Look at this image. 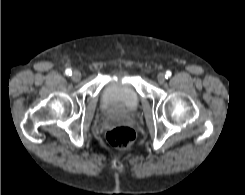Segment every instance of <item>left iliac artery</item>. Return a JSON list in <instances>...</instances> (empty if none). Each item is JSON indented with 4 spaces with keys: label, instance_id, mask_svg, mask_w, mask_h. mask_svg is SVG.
Wrapping results in <instances>:
<instances>
[{
    "label": "left iliac artery",
    "instance_id": "1",
    "mask_svg": "<svg viewBox=\"0 0 245 195\" xmlns=\"http://www.w3.org/2000/svg\"><path fill=\"white\" fill-rule=\"evenodd\" d=\"M171 75H172V73H171V71H166V74H165V77L166 78H169V77H171Z\"/></svg>",
    "mask_w": 245,
    "mask_h": 195
}]
</instances>
